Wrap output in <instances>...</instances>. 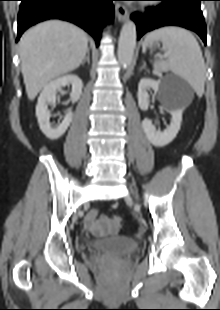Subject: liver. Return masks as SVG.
I'll list each match as a JSON object with an SVG mask.
<instances>
[{"label": "liver", "mask_w": 220, "mask_h": 310, "mask_svg": "<svg viewBox=\"0 0 220 310\" xmlns=\"http://www.w3.org/2000/svg\"><path fill=\"white\" fill-rule=\"evenodd\" d=\"M87 51V34L67 22L46 21L25 32L19 54L28 98L34 100L50 81L78 68Z\"/></svg>", "instance_id": "1"}]
</instances>
